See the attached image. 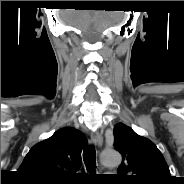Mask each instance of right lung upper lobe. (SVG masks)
Wrapping results in <instances>:
<instances>
[{
	"label": "right lung upper lobe",
	"mask_w": 184,
	"mask_h": 184,
	"mask_svg": "<svg viewBox=\"0 0 184 184\" xmlns=\"http://www.w3.org/2000/svg\"><path fill=\"white\" fill-rule=\"evenodd\" d=\"M86 142L79 130L59 129L30 149L18 172L31 182L69 183L81 167V151Z\"/></svg>",
	"instance_id": "obj_1"
}]
</instances>
